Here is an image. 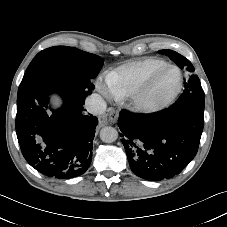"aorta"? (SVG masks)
Wrapping results in <instances>:
<instances>
[{"label":"aorta","instance_id":"obj_1","mask_svg":"<svg viewBox=\"0 0 227 227\" xmlns=\"http://www.w3.org/2000/svg\"><path fill=\"white\" fill-rule=\"evenodd\" d=\"M100 138L105 143H112L118 138V131L111 126H106L100 131Z\"/></svg>","mask_w":227,"mask_h":227}]
</instances>
